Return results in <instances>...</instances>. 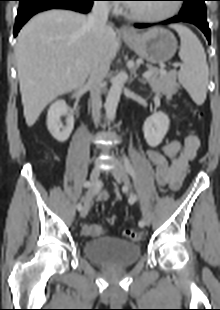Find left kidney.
<instances>
[{
    "instance_id": "obj_1",
    "label": "left kidney",
    "mask_w": 220,
    "mask_h": 310,
    "mask_svg": "<svg viewBox=\"0 0 220 310\" xmlns=\"http://www.w3.org/2000/svg\"><path fill=\"white\" fill-rule=\"evenodd\" d=\"M169 123L168 116L162 111L154 113L146 119L143 132L149 146L156 147L162 142L168 132Z\"/></svg>"
}]
</instances>
